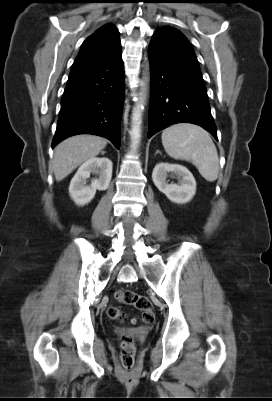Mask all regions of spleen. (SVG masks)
Instances as JSON below:
<instances>
[{
	"instance_id": "spleen-1",
	"label": "spleen",
	"mask_w": 272,
	"mask_h": 401,
	"mask_svg": "<svg viewBox=\"0 0 272 401\" xmlns=\"http://www.w3.org/2000/svg\"><path fill=\"white\" fill-rule=\"evenodd\" d=\"M161 138L170 157L192 162L208 182L217 180L218 153L207 131L196 125L182 123L166 128Z\"/></svg>"
}]
</instances>
